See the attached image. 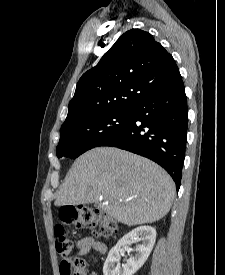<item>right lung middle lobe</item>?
Masks as SVG:
<instances>
[{
	"label": "right lung middle lobe",
	"mask_w": 225,
	"mask_h": 275,
	"mask_svg": "<svg viewBox=\"0 0 225 275\" xmlns=\"http://www.w3.org/2000/svg\"><path fill=\"white\" fill-rule=\"evenodd\" d=\"M131 110L108 111L75 120L60 130L57 157L77 158L87 150L121 130L129 121Z\"/></svg>",
	"instance_id": "obj_1"
}]
</instances>
